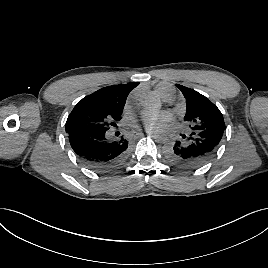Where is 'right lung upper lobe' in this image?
Wrapping results in <instances>:
<instances>
[{
  "instance_id": "right-lung-upper-lobe-1",
  "label": "right lung upper lobe",
  "mask_w": 268,
  "mask_h": 268,
  "mask_svg": "<svg viewBox=\"0 0 268 268\" xmlns=\"http://www.w3.org/2000/svg\"><path fill=\"white\" fill-rule=\"evenodd\" d=\"M138 84V82H131L124 85L104 87L84 97L80 102H97L104 106L124 108L128 94Z\"/></svg>"
}]
</instances>
